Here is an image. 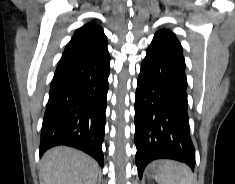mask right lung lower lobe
<instances>
[{
  "label": "right lung lower lobe",
  "mask_w": 235,
  "mask_h": 184,
  "mask_svg": "<svg viewBox=\"0 0 235 184\" xmlns=\"http://www.w3.org/2000/svg\"><path fill=\"white\" fill-rule=\"evenodd\" d=\"M109 62L110 56L60 59L41 128L40 156L66 145L86 152L103 167Z\"/></svg>",
  "instance_id": "1"
}]
</instances>
